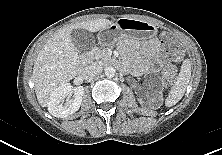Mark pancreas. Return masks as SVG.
Instances as JSON below:
<instances>
[{
	"mask_svg": "<svg viewBox=\"0 0 222 155\" xmlns=\"http://www.w3.org/2000/svg\"><path fill=\"white\" fill-rule=\"evenodd\" d=\"M92 56L94 59H96L98 62L102 64H110L112 63L111 56L108 54L107 48H94L92 50Z\"/></svg>",
	"mask_w": 222,
	"mask_h": 155,
	"instance_id": "obj_1",
	"label": "pancreas"
}]
</instances>
